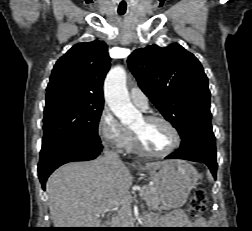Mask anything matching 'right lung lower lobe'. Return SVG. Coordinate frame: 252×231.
<instances>
[{"instance_id":"obj_1","label":"right lung lower lobe","mask_w":252,"mask_h":231,"mask_svg":"<svg viewBox=\"0 0 252 231\" xmlns=\"http://www.w3.org/2000/svg\"><path fill=\"white\" fill-rule=\"evenodd\" d=\"M101 151L100 142L76 138H62L43 145L38 164L39 179L43 189L48 176L59 166L71 161L95 159Z\"/></svg>"}]
</instances>
